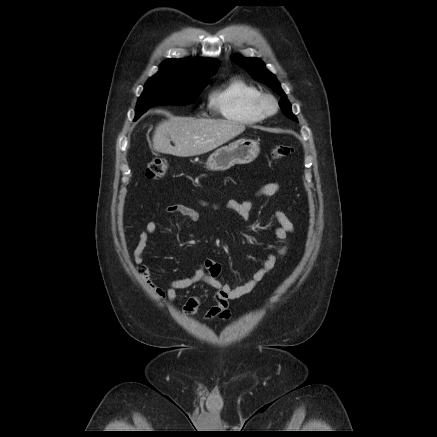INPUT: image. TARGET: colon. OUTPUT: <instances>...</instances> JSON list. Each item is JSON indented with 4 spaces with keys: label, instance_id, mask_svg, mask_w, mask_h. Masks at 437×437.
<instances>
[{
    "label": "colon",
    "instance_id": "5ec220e1",
    "mask_svg": "<svg viewBox=\"0 0 437 437\" xmlns=\"http://www.w3.org/2000/svg\"><path fill=\"white\" fill-rule=\"evenodd\" d=\"M293 147L289 145H277L272 149V156L275 159L284 158L293 154ZM169 169V161L164 157L152 159L146 168V176L150 179L162 177ZM143 271V270H142Z\"/></svg>",
    "mask_w": 437,
    "mask_h": 437
}]
</instances>
